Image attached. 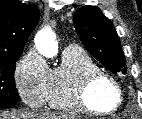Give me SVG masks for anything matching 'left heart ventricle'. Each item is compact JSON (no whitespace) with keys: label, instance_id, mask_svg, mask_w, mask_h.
Instances as JSON below:
<instances>
[{"label":"left heart ventricle","instance_id":"obj_1","mask_svg":"<svg viewBox=\"0 0 142 119\" xmlns=\"http://www.w3.org/2000/svg\"><path fill=\"white\" fill-rule=\"evenodd\" d=\"M117 92L106 80L97 82L90 90L89 102L98 110H109L117 102Z\"/></svg>","mask_w":142,"mask_h":119}]
</instances>
